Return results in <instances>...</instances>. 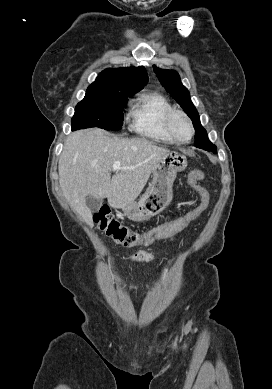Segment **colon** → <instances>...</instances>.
Instances as JSON below:
<instances>
[{"mask_svg": "<svg viewBox=\"0 0 272 389\" xmlns=\"http://www.w3.org/2000/svg\"><path fill=\"white\" fill-rule=\"evenodd\" d=\"M203 179L204 173L197 169L192 170L188 176L190 187L198 194L201 200L198 207L147 231L137 232L122 226L108 207H102L97 211L93 215V220L108 236L125 247L149 245L156 240L174 236L196 221L206 210L209 195L200 185Z\"/></svg>", "mask_w": 272, "mask_h": 389, "instance_id": "colon-1", "label": "colon"}]
</instances>
